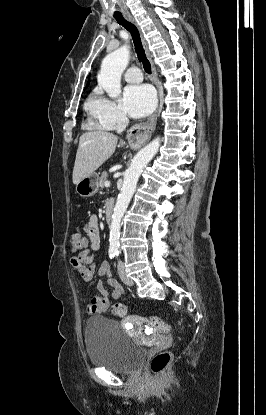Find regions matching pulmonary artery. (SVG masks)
Listing matches in <instances>:
<instances>
[{
	"label": "pulmonary artery",
	"mask_w": 266,
	"mask_h": 415,
	"mask_svg": "<svg viewBox=\"0 0 266 415\" xmlns=\"http://www.w3.org/2000/svg\"><path fill=\"white\" fill-rule=\"evenodd\" d=\"M124 78L129 83L141 82L142 81L141 70L136 66H132L126 70L124 74Z\"/></svg>",
	"instance_id": "pulmonary-artery-1"
}]
</instances>
